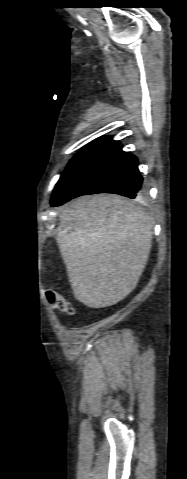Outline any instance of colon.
Wrapping results in <instances>:
<instances>
[{
	"label": "colon",
	"instance_id": "colon-1",
	"mask_svg": "<svg viewBox=\"0 0 187 479\" xmlns=\"http://www.w3.org/2000/svg\"><path fill=\"white\" fill-rule=\"evenodd\" d=\"M47 301L60 313L73 315L75 313V308L70 302V300L53 290H48L46 292Z\"/></svg>",
	"mask_w": 187,
	"mask_h": 479
}]
</instances>
